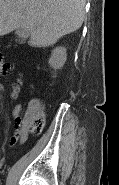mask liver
Segmentation results:
<instances>
[{"mask_svg":"<svg viewBox=\"0 0 119 185\" xmlns=\"http://www.w3.org/2000/svg\"><path fill=\"white\" fill-rule=\"evenodd\" d=\"M86 0H0V36L15 29L30 34L29 45L47 47L77 31Z\"/></svg>","mask_w":119,"mask_h":185,"instance_id":"6515ba94","label":"liver"}]
</instances>
